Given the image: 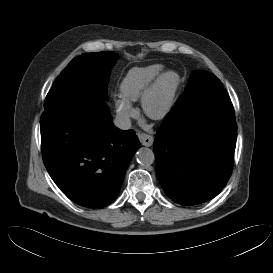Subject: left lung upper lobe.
<instances>
[{
	"label": "left lung upper lobe",
	"mask_w": 273,
	"mask_h": 273,
	"mask_svg": "<svg viewBox=\"0 0 273 273\" xmlns=\"http://www.w3.org/2000/svg\"><path fill=\"white\" fill-rule=\"evenodd\" d=\"M209 77L215 78L216 76L214 74H211L203 70L194 71L188 80L184 93L179 97L177 102L181 103L182 101L186 100L188 97L192 96L203 85H206L209 82L208 80Z\"/></svg>",
	"instance_id": "obj_1"
}]
</instances>
